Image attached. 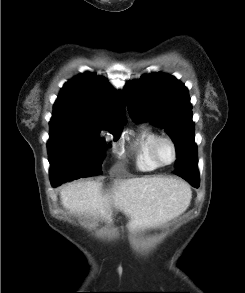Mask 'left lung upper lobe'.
<instances>
[{
    "mask_svg": "<svg viewBox=\"0 0 245 293\" xmlns=\"http://www.w3.org/2000/svg\"><path fill=\"white\" fill-rule=\"evenodd\" d=\"M124 95L135 120L161 126L175 143L178 160L174 173L199 175L188 89L173 76L153 73L128 82Z\"/></svg>",
    "mask_w": 245,
    "mask_h": 293,
    "instance_id": "5c2ea615",
    "label": "left lung upper lobe"
}]
</instances>
